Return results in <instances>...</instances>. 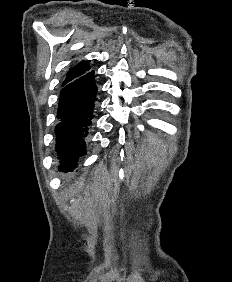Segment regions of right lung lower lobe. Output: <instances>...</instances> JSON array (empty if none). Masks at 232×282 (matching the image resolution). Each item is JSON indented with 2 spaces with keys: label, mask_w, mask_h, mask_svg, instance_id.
I'll list each match as a JSON object with an SVG mask.
<instances>
[{
  "label": "right lung lower lobe",
  "mask_w": 232,
  "mask_h": 282,
  "mask_svg": "<svg viewBox=\"0 0 232 282\" xmlns=\"http://www.w3.org/2000/svg\"><path fill=\"white\" fill-rule=\"evenodd\" d=\"M96 93L93 71L62 84L55 127L59 171H73L77 158L86 154Z\"/></svg>",
  "instance_id": "obj_1"
}]
</instances>
